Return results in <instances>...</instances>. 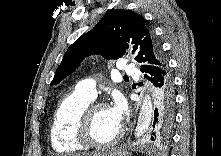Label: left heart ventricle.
Segmentation results:
<instances>
[{
  "label": "left heart ventricle",
  "mask_w": 221,
  "mask_h": 156,
  "mask_svg": "<svg viewBox=\"0 0 221 156\" xmlns=\"http://www.w3.org/2000/svg\"><path fill=\"white\" fill-rule=\"evenodd\" d=\"M119 128L120 126L111 119L107 107H101L94 112L90 132L95 141L101 143L109 141Z\"/></svg>",
  "instance_id": "b2bd125f"
}]
</instances>
